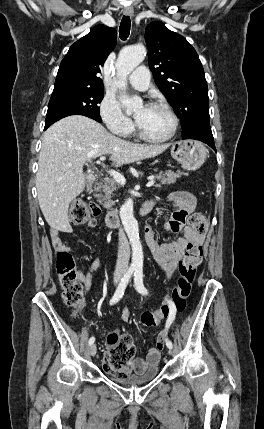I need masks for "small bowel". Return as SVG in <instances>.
Instances as JSON below:
<instances>
[{
	"instance_id": "small-bowel-1",
	"label": "small bowel",
	"mask_w": 264,
	"mask_h": 429,
	"mask_svg": "<svg viewBox=\"0 0 264 429\" xmlns=\"http://www.w3.org/2000/svg\"><path fill=\"white\" fill-rule=\"evenodd\" d=\"M169 199L176 207V211L172 214L169 222L164 226L163 233L165 235L179 236L170 242L159 243L156 231L153 228L146 227L144 230L145 240L151 250L152 257L157 265L164 271L166 280L172 277L188 247L191 245H200L203 241V233L186 224L188 215L192 213L196 207L195 196L188 191H175L170 194ZM96 223V219L92 218L89 220L87 226L89 228H94ZM65 231L70 232L71 228L68 227ZM51 238L56 250L67 251V247L60 238L58 230L52 231ZM98 268H100L98 263H92L86 272L78 273V279L84 284L87 291L91 288L92 272ZM121 317L124 321L129 320L130 315L127 308H123ZM160 334L165 336L164 332ZM108 354L109 351L105 353L103 358V368L105 371L107 369L104 359ZM159 360L160 349L152 347L148 350L145 358L137 357L132 360L130 370L138 374L145 373L148 369L157 366Z\"/></svg>"
}]
</instances>
